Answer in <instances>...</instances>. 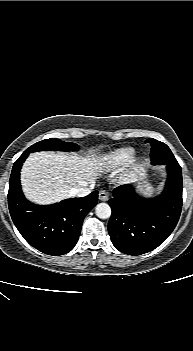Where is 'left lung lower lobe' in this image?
I'll use <instances>...</instances> for the list:
<instances>
[{"label":"left lung lower lobe","instance_id":"left-lung-lower-lobe-1","mask_svg":"<svg viewBox=\"0 0 193 351\" xmlns=\"http://www.w3.org/2000/svg\"><path fill=\"white\" fill-rule=\"evenodd\" d=\"M165 165L168 176L159 197L141 198L128 185L113 191L108 230L113 245L122 253L141 255L152 251L168 238L179 220L183 189L181 167L177 161Z\"/></svg>","mask_w":193,"mask_h":351}]
</instances>
